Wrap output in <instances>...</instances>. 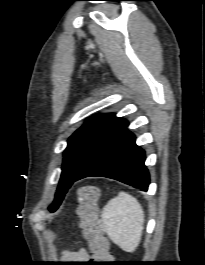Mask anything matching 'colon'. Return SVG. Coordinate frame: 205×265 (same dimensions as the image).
<instances>
[{
  "label": "colon",
  "instance_id": "obj_1",
  "mask_svg": "<svg viewBox=\"0 0 205 265\" xmlns=\"http://www.w3.org/2000/svg\"><path fill=\"white\" fill-rule=\"evenodd\" d=\"M99 197V189L95 185H86L79 189L77 215L83 236L92 253L91 265H104L111 258L109 242L99 217Z\"/></svg>",
  "mask_w": 205,
  "mask_h": 265
}]
</instances>
